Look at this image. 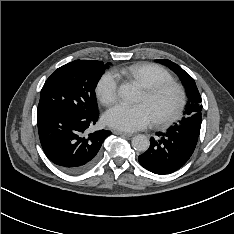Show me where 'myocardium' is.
I'll return each instance as SVG.
<instances>
[{"label": "myocardium", "instance_id": "1", "mask_svg": "<svg viewBox=\"0 0 234 234\" xmlns=\"http://www.w3.org/2000/svg\"><path fill=\"white\" fill-rule=\"evenodd\" d=\"M166 90H174L177 94V101L175 106L169 113L160 118L154 119V123L158 126H166L174 122L181 114L186 103L185 91L183 87L175 81H164L153 84L149 87L144 88L143 93L147 99H153Z\"/></svg>", "mask_w": 234, "mask_h": 234}]
</instances>
